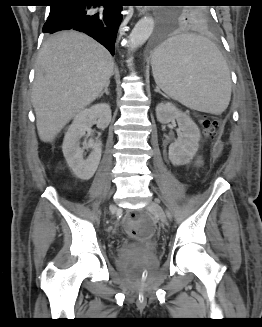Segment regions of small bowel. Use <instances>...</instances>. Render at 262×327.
Listing matches in <instances>:
<instances>
[{"label": "small bowel", "instance_id": "c3829d8e", "mask_svg": "<svg viewBox=\"0 0 262 327\" xmlns=\"http://www.w3.org/2000/svg\"><path fill=\"white\" fill-rule=\"evenodd\" d=\"M202 162H203L202 157H198L196 163H197L198 165H200Z\"/></svg>", "mask_w": 262, "mask_h": 327}]
</instances>
